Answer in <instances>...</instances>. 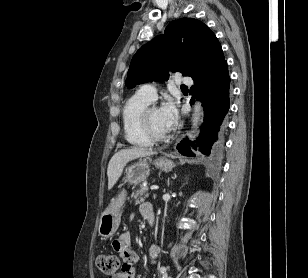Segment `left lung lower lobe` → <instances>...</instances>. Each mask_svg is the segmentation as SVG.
I'll return each instance as SVG.
<instances>
[{
	"label": "left lung lower lobe",
	"instance_id": "obj_1",
	"mask_svg": "<svg viewBox=\"0 0 308 278\" xmlns=\"http://www.w3.org/2000/svg\"><path fill=\"white\" fill-rule=\"evenodd\" d=\"M194 87L191 88L192 98L201 100L204 107V123L198 138L199 150L206 155L214 144L215 148L222 142L224 130L223 119L229 109V84L230 77L227 62L224 60L209 74L194 78ZM177 149L184 156H195L188 143L184 140L178 144Z\"/></svg>",
	"mask_w": 308,
	"mask_h": 278
}]
</instances>
